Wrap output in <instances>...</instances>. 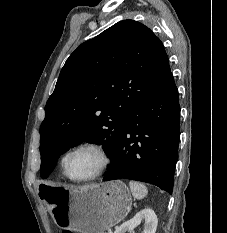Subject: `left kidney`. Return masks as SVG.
Listing matches in <instances>:
<instances>
[{
  "label": "left kidney",
  "mask_w": 227,
  "mask_h": 233,
  "mask_svg": "<svg viewBox=\"0 0 227 233\" xmlns=\"http://www.w3.org/2000/svg\"><path fill=\"white\" fill-rule=\"evenodd\" d=\"M142 221H144L143 233H155L158 219L151 208H145L138 212L133 218L118 227L115 233H126L128 231H132Z\"/></svg>",
  "instance_id": "5707ae66"
}]
</instances>
